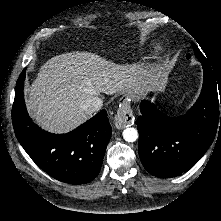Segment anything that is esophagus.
Instances as JSON below:
<instances>
[{"instance_id":"obj_1","label":"esophagus","mask_w":221,"mask_h":221,"mask_svg":"<svg viewBox=\"0 0 221 221\" xmlns=\"http://www.w3.org/2000/svg\"><path fill=\"white\" fill-rule=\"evenodd\" d=\"M134 121L135 117L130 107V99L126 96L122 100L117 116L115 117V126L116 128H122L126 125L132 126L134 125Z\"/></svg>"}]
</instances>
